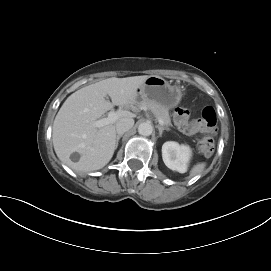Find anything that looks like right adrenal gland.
Instances as JSON below:
<instances>
[{"label":"right adrenal gland","instance_id":"1","mask_svg":"<svg viewBox=\"0 0 271 271\" xmlns=\"http://www.w3.org/2000/svg\"><path fill=\"white\" fill-rule=\"evenodd\" d=\"M123 136V134H120V135H117V138H116V148L118 146V142L120 140V138Z\"/></svg>","mask_w":271,"mask_h":271}]
</instances>
